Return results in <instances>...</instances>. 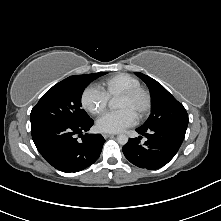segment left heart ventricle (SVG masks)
<instances>
[{
  "mask_svg": "<svg viewBox=\"0 0 221 221\" xmlns=\"http://www.w3.org/2000/svg\"><path fill=\"white\" fill-rule=\"evenodd\" d=\"M145 103V99L143 96H137L133 99H123L119 98L117 100V109H127L131 111L135 116L139 113V111L143 108Z\"/></svg>",
  "mask_w": 221,
  "mask_h": 221,
  "instance_id": "left-heart-ventricle-1",
  "label": "left heart ventricle"
}]
</instances>
